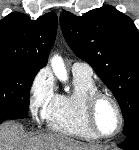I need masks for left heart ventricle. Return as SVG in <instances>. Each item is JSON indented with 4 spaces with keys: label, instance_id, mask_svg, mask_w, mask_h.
Here are the masks:
<instances>
[{
    "label": "left heart ventricle",
    "instance_id": "1",
    "mask_svg": "<svg viewBox=\"0 0 139 150\" xmlns=\"http://www.w3.org/2000/svg\"><path fill=\"white\" fill-rule=\"evenodd\" d=\"M95 122L99 131L103 134H113L118 126V116L113 104L107 100L102 99L95 111Z\"/></svg>",
    "mask_w": 139,
    "mask_h": 150
}]
</instances>
